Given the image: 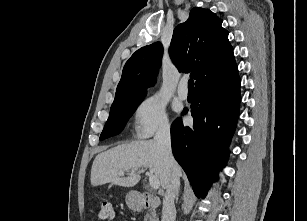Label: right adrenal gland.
Listing matches in <instances>:
<instances>
[{
  "mask_svg": "<svg viewBox=\"0 0 307 221\" xmlns=\"http://www.w3.org/2000/svg\"><path fill=\"white\" fill-rule=\"evenodd\" d=\"M178 197H179V195L177 194V196H176V201L178 200Z\"/></svg>",
  "mask_w": 307,
  "mask_h": 221,
  "instance_id": "obj_1",
  "label": "right adrenal gland"
}]
</instances>
